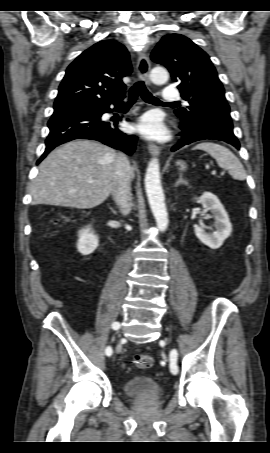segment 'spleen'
<instances>
[{
	"mask_svg": "<svg viewBox=\"0 0 270 453\" xmlns=\"http://www.w3.org/2000/svg\"><path fill=\"white\" fill-rule=\"evenodd\" d=\"M193 149L208 152L221 168L228 170L233 179L241 181L246 179L247 175L242 163L228 148L220 144L205 142L196 145Z\"/></svg>",
	"mask_w": 270,
	"mask_h": 453,
	"instance_id": "obj_1",
	"label": "spleen"
}]
</instances>
